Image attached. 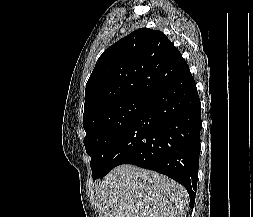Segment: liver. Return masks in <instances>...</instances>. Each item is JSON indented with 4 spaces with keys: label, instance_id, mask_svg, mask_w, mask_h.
Here are the masks:
<instances>
[{
    "label": "liver",
    "instance_id": "1",
    "mask_svg": "<svg viewBox=\"0 0 253 217\" xmlns=\"http://www.w3.org/2000/svg\"><path fill=\"white\" fill-rule=\"evenodd\" d=\"M99 217H185L187 190L130 164L114 168L95 188Z\"/></svg>",
    "mask_w": 253,
    "mask_h": 217
}]
</instances>
